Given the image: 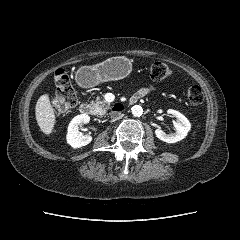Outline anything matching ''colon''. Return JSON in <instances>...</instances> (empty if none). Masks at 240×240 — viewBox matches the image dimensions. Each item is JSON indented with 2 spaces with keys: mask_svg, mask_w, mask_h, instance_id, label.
Returning a JSON list of instances; mask_svg holds the SVG:
<instances>
[{
  "mask_svg": "<svg viewBox=\"0 0 240 240\" xmlns=\"http://www.w3.org/2000/svg\"><path fill=\"white\" fill-rule=\"evenodd\" d=\"M170 67L157 61L150 68V76L153 80L163 81L171 76ZM56 94L52 99V106L56 114H62L77 104V94L72 85L70 76L64 68H59L54 74ZM185 98L189 103L199 106L204 102V93L200 86L193 85L186 89Z\"/></svg>",
  "mask_w": 240,
  "mask_h": 240,
  "instance_id": "1",
  "label": "colon"
}]
</instances>
